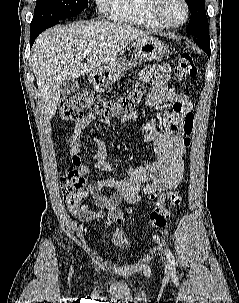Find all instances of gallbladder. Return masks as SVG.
I'll use <instances>...</instances> for the list:
<instances>
[{"label":"gallbladder","instance_id":"bac80fb5","mask_svg":"<svg viewBox=\"0 0 239 303\" xmlns=\"http://www.w3.org/2000/svg\"><path fill=\"white\" fill-rule=\"evenodd\" d=\"M79 83L76 78L66 79L62 82L61 93L63 95H71L77 91Z\"/></svg>","mask_w":239,"mask_h":303}]
</instances>
